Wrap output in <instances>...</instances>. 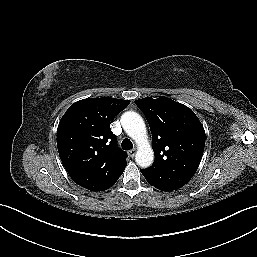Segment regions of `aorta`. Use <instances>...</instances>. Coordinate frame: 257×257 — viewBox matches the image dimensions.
<instances>
[{
  "label": "aorta",
  "instance_id": "762f6f07",
  "mask_svg": "<svg viewBox=\"0 0 257 257\" xmlns=\"http://www.w3.org/2000/svg\"><path fill=\"white\" fill-rule=\"evenodd\" d=\"M121 124L127 135L137 144L136 163L142 168L151 166L154 160V153L148 142L142 117L136 112L128 111L122 115Z\"/></svg>",
  "mask_w": 257,
  "mask_h": 257
}]
</instances>
